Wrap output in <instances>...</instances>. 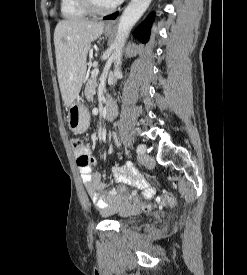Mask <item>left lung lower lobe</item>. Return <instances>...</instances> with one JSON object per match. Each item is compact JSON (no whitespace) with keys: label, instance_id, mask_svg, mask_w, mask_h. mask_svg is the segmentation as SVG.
Wrapping results in <instances>:
<instances>
[{"label":"left lung lower lobe","instance_id":"obj_1","mask_svg":"<svg viewBox=\"0 0 247 275\" xmlns=\"http://www.w3.org/2000/svg\"><path fill=\"white\" fill-rule=\"evenodd\" d=\"M118 12L105 16L104 19H115ZM153 14H151L138 28L134 31L133 35L135 38L140 40L142 43H146L149 39L151 23L153 20Z\"/></svg>","mask_w":247,"mask_h":275}]
</instances>
